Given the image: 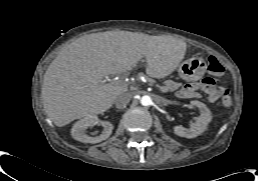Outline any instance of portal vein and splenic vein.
Returning <instances> with one entry per match:
<instances>
[{
    "label": "portal vein and splenic vein",
    "mask_w": 258,
    "mask_h": 181,
    "mask_svg": "<svg viewBox=\"0 0 258 181\" xmlns=\"http://www.w3.org/2000/svg\"><path fill=\"white\" fill-rule=\"evenodd\" d=\"M114 83H117L118 81L113 80ZM160 91L166 93L168 90L165 87H159Z\"/></svg>",
    "instance_id": "obj_1"
}]
</instances>
